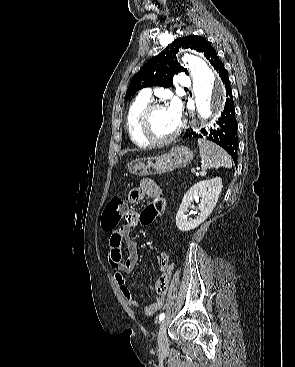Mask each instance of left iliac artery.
I'll list each match as a JSON object with an SVG mask.
<instances>
[{
    "instance_id": "left-iliac-artery-1",
    "label": "left iliac artery",
    "mask_w": 295,
    "mask_h": 367,
    "mask_svg": "<svg viewBox=\"0 0 295 367\" xmlns=\"http://www.w3.org/2000/svg\"><path fill=\"white\" fill-rule=\"evenodd\" d=\"M165 318V313H161L159 315V321H162Z\"/></svg>"
}]
</instances>
